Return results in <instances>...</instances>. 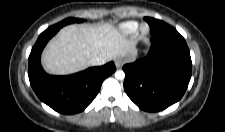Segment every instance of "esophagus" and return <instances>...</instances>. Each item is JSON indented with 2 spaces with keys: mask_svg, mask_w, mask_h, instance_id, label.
<instances>
[{
  "mask_svg": "<svg viewBox=\"0 0 225 132\" xmlns=\"http://www.w3.org/2000/svg\"><path fill=\"white\" fill-rule=\"evenodd\" d=\"M122 65H123V60H122V58H117V59H115V66H116L117 68L122 67Z\"/></svg>",
  "mask_w": 225,
  "mask_h": 132,
  "instance_id": "34e87169",
  "label": "esophagus"
}]
</instances>
